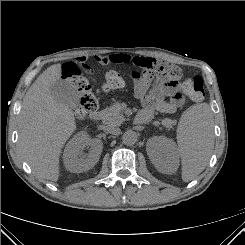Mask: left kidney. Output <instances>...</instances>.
I'll return each mask as SVG.
<instances>
[{
	"mask_svg": "<svg viewBox=\"0 0 245 245\" xmlns=\"http://www.w3.org/2000/svg\"><path fill=\"white\" fill-rule=\"evenodd\" d=\"M147 154L156 169L162 173H173L179 165L176 145L172 139L154 136L147 141Z\"/></svg>",
	"mask_w": 245,
	"mask_h": 245,
	"instance_id": "obj_1",
	"label": "left kidney"
}]
</instances>
